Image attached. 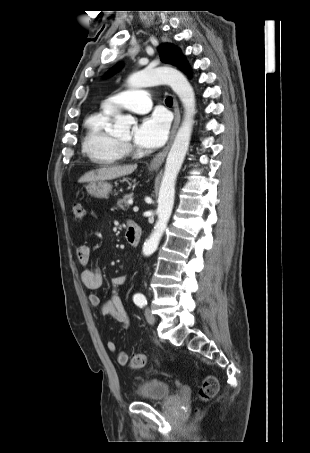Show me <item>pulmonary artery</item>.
Segmentation results:
<instances>
[{"label": "pulmonary artery", "instance_id": "e3ab8cb5", "mask_svg": "<svg viewBox=\"0 0 310 453\" xmlns=\"http://www.w3.org/2000/svg\"><path fill=\"white\" fill-rule=\"evenodd\" d=\"M151 98L147 91L128 90L119 92L103 103V107L112 112L118 108H125L132 112L143 114L151 109Z\"/></svg>", "mask_w": 310, "mask_h": 453}]
</instances>
